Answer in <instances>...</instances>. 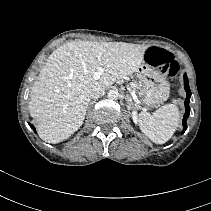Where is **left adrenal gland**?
Here are the masks:
<instances>
[{
	"mask_svg": "<svg viewBox=\"0 0 211 211\" xmlns=\"http://www.w3.org/2000/svg\"><path fill=\"white\" fill-rule=\"evenodd\" d=\"M126 100H127V107H128V110L131 109L132 105L134 104L133 100H132V97L130 95H126Z\"/></svg>",
	"mask_w": 211,
	"mask_h": 211,
	"instance_id": "a2214340",
	"label": "left adrenal gland"
}]
</instances>
